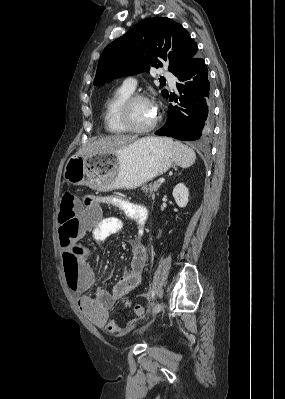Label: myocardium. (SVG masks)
<instances>
[{
  "label": "myocardium",
  "mask_w": 285,
  "mask_h": 399,
  "mask_svg": "<svg viewBox=\"0 0 285 399\" xmlns=\"http://www.w3.org/2000/svg\"><path fill=\"white\" fill-rule=\"evenodd\" d=\"M138 100H145V101H149L150 103H152L156 109V117L154 119V121L149 124L146 127H142V128H137L135 126L132 125L131 123V117H130V110L132 105L138 101ZM160 120V113L159 110L156 106V104L146 95L144 94H131L122 104L121 108H120V121L121 124L123 125V127L128 130L129 132L132 133H146L151 131L152 129H154L158 122Z\"/></svg>",
  "instance_id": "1"
}]
</instances>
